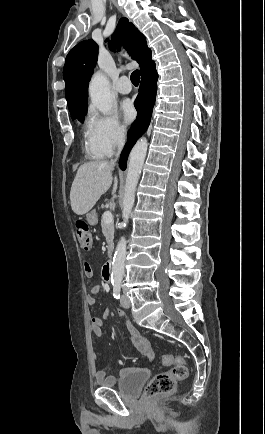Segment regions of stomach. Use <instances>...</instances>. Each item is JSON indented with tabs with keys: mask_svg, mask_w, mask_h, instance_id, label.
<instances>
[{
	"mask_svg": "<svg viewBox=\"0 0 265 434\" xmlns=\"http://www.w3.org/2000/svg\"><path fill=\"white\" fill-rule=\"evenodd\" d=\"M86 218L89 224H95V222H97V216L95 210H93V212H90V214H87Z\"/></svg>",
	"mask_w": 265,
	"mask_h": 434,
	"instance_id": "stomach-1",
	"label": "stomach"
}]
</instances>
